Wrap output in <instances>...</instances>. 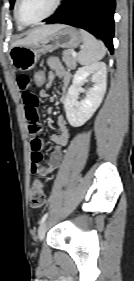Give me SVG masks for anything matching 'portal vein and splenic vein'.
I'll return each instance as SVG.
<instances>
[{
  "label": "portal vein and splenic vein",
  "mask_w": 134,
  "mask_h": 281,
  "mask_svg": "<svg viewBox=\"0 0 134 281\" xmlns=\"http://www.w3.org/2000/svg\"><path fill=\"white\" fill-rule=\"evenodd\" d=\"M72 56H73V57H76V56H77V54H76L75 51H72Z\"/></svg>",
  "instance_id": "obj_1"
}]
</instances>
